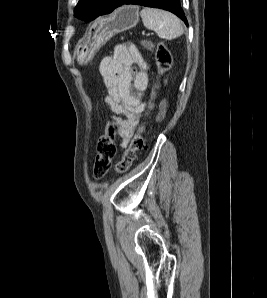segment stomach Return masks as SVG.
Here are the masks:
<instances>
[{
    "instance_id": "1",
    "label": "stomach",
    "mask_w": 267,
    "mask_h": 298,
    "mask_svg": "<svg viewBox=\"0 0 267 298\" xmlns=\"http://www.w3.org/2000/svg\"><path fill=\"white\" fill-rule=\"evenodd\" d=\"M138 21L139 8L134 5L119 7L107 17L100 19L76 48L78 63H88L104 43L114 35L135 27Z\"/></svg>"
}]
</instances>
